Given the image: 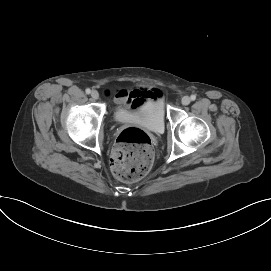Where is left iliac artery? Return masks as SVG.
Here are the masks:
<instances>
[{
	"instance_id": "obj_1",
	"label": "left iliac artery",
	"mask_w": 271,
	"mask_h": 271,
	"mask_svg": "<svg viewBox=\"0 0 271 271\" xmlns=\"http://www.w3.org/2000/svg\"><path fill=\"white\" fill-rule=\"evenodd\" d=\"M190 98H191L192 101H194L196 99V95L193 94V95H191Z\"/></svg>"
}]
</instances>
